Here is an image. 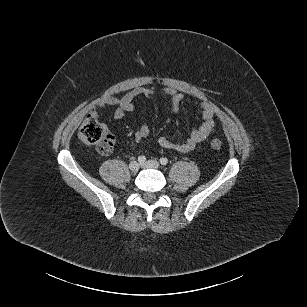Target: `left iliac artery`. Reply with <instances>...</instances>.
<instances>
[{
	"label": "left iliac artery",
	"mask_w": 307,
	"mask_h": 307,
	"mask_svg": "<svg viewBox=\"0 0 307 307\" xmlns=\"http://www.w3.org/2000/svg\"><path fill=\"white\" fill-rule=\"evenodd\" d=\"M160 163H161L162 165H167L168 159L165 158V157H162V158H160Z\"/></svg>",
	"instance_id": "44dca946"
}]
</instances>
